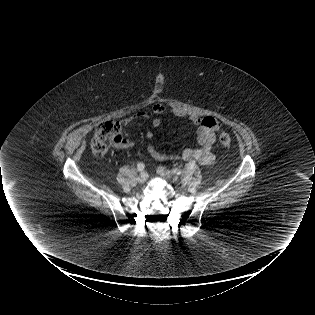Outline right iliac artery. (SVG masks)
<instances>
[{
	"label": "right iliac artery",
	"instance_id": "obj_1",
	"mask_svg": "<svg viewBox=\"0 0 315 315\" xmlns=\"http://www.w3.org/2000/svg\"><path fill=\"white\" fill-rule=\"evenodd\" d=\"M144 168H145V165H144L143 163H139V164L137 165V169H138L139 171H143Z\"/></svg>",
	"mask_w": 315,
	"mask_h": 315
}]
</instances>
